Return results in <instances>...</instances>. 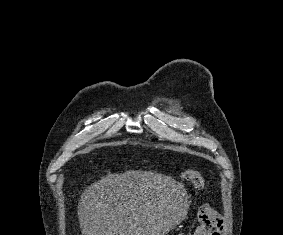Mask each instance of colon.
Here are the masks:
<instances>
[{
	"label": "colon",
	"instance_id": "colon-1",
	"mask_svg": "<svg viewBox=\"0 0 283 235\" xmlns=\"http://www.w3.org/2000/svg\"><path fill=\"white\" fill-rule=\"evenodd\" d=\"M183 178L197 189H203L205 186L204 177L200 172L195 169L188 168L184 170Z\"/></svg>",
	"mask_w": 283,
	"mask_h": 235
}]
</instances>
